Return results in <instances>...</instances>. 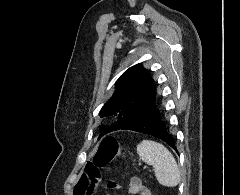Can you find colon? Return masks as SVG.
Masks as SVG:
<instances>
[{"instance_id":"obj_1","label":"colon","mask_w":240,"mask_h":195,"mask_svg":"<svg viewBox=\"0 0 240 195\" xmlns=\"http://www.w3.org/2000/svg\"><path fill=\"white\" fill-rule=\"evenodd\" d=\"M120 152V144L113 137L105 138L95 152V166L88 165L85 171L88 186H75L74 195H89V191L100 184V168L106 167ZM91 193V192H90Z\"/></svg>"}]
</instances>
